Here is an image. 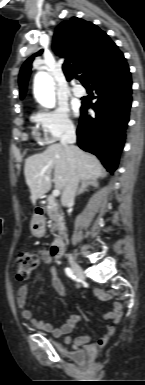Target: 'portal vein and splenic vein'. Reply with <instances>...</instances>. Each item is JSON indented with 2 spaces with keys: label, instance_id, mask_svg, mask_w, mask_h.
I'll return each instance as SVG.
<instances>
[{
  "label": "portal vein and splenic vein",
  "instance_id": "18ae733b",
  "mask_svg": "<svg viewBox=\"0 0 145 385\" xmlns=\"http://www.w3.org/2000/svg\"><path fill=\"white\" fill-rule=\"evenodd\" d=\"M46 179H48V177H46ZM52 195H53L54 197H57V196L60 195V191H59L58 189H55V190H53Z\"/></svg>",
  "mask_w": 145,
  "mask_h": 385
}]
</instances>
